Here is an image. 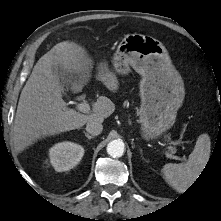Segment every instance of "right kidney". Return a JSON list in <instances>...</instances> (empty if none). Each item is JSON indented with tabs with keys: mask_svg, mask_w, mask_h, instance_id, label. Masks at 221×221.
<instances>
[{
	"mask_svg": "<svg viewBox=\"0 0 221 221\" xmlns=\"http://www.w3.org/2000/svg\"><path fill=\"white\" fill-rule=\"evenodd\" d=\"M84 155V148L73 142H60L49 149L50 163L58 172L75 167Z\"/></svg>",
	"mask_w": 221,
	"mask_h": 221,
	"instance_id": "ca27d5eb",
	"label": "right kidney"
}]
</instances>
